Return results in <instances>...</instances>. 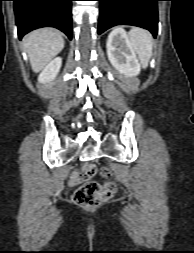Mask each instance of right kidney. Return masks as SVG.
Wrapping results in <instances>:
<instances>
[{"instance_id":"right-kidney-1","label":"right kidney","mask_w":194,"mask_h":253,"mask_svg":"<svg viewBox=\"0 0 194 253\" xmlns=\"http://www.w3.org/2000/svg\"><path fill=\"white\" fill-rule=\"evenodd\" d=\"M61 64L62 59L60 57L53 59L40 73L38 81L40 83H48L54 80L61 68Z\"/></svg>"}]
</instances>
